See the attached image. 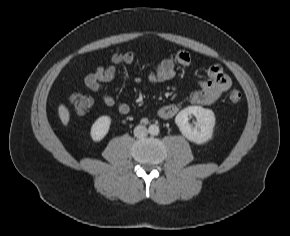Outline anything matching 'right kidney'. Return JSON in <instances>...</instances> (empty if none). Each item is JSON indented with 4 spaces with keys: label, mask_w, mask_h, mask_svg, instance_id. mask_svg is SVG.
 <instances>
[{
    "label": "right kidney",
    "mask_w": 290,
    "mask_h": 236,
    "mask_svg": "<svg viewBox=\"0 0 290 236\" xmlns=\"http://www.w3.org/2000/svg\"><path fill=\"white\" fill-rule=\"evenodd\" d=\"M111 124V118L109 116L99 117L91 127V138L94 141L102 140L109 131Z\"/></svg>",
    "instance_id": "right-kidney-1"
}]
</instances>
